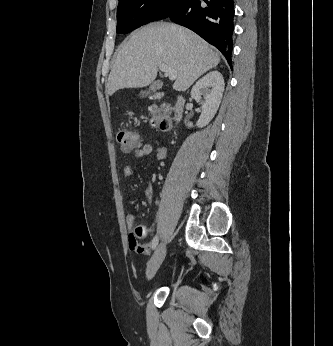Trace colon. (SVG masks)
Masks as SVG:
<instances>
[{
  "mask_svg": "<svg viewBox=\"0 0 333 346\" xmlns=\"http://www.w3.org/2000/svg\"><path fill=\"white\" fill-rule=\"evenodd\" d=\"M173 108L170 104L165 103L161 107H152L151 113L153 115L152 124L164 131L169 126V115ZM117 142L124 153H132L140 148L141 138L138 133L129 129H120L117 132ZM135 231L141 238H146L147 233L150 232L149 226H138Z\"/></svg>",
  "mask_w": 333,
  "mask_h": 346,
  "instance_id": "obj_1",
  "label": "colon"
}]
</instances>
